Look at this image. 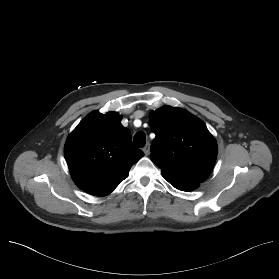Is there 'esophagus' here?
Masks as SVG:
<instances>
[{"label":"esophagus","instance_id":"obj_1","mask_svg":"<svg viewBox=\"0 0 279 279\" xmlns=\"http://www.w3.org/2000/svg\"><path fill=\"white\" fill-rule=\"evenodd\" d=\"M143 151H144L145 155H149V153H150V146H149V144H147V145L143 148Z\"/></svg>","mask_w":279,"mask_h":279}]
</instances>
